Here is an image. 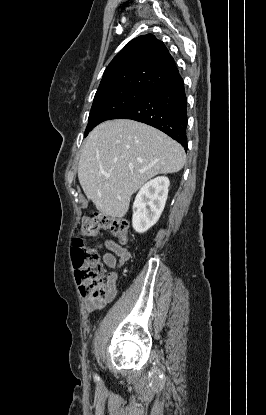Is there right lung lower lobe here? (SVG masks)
I'll list each match as a JSON object with an SVG mask.
<instances>
[{"label": "right lung lower lobe", "instance_id": "1", "mask_svg": "<svg viewBox=\"0 0 266 415\" xmlns=\"http://www.w3.org/2000/svg\"><path fill=\"white\" fill-rule=\"evenodd\" d=\"M131 119L151 125L179 142L187 151V98L181 76L152 89L143 99L110 119Z\"/></svg>", "mask_w": 266, "mask_h": 415}]
</instances>
